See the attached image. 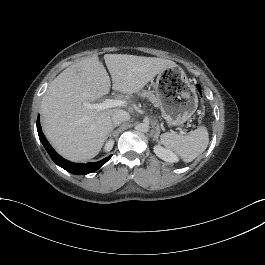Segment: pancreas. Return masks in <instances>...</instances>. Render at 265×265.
Instances as JSON below:
<instances>
[{"label":"pancreas","instance_id":"obj_1","mask_svg":"<svg viewBox=\"0 0 265 265\" xmlns=\"http://www.w3.org/2000/svg\"><path fill=\"white\" fill-rule=\"evenodd\" d=\"M137 94H138L139 97L147 98L150 102H152L154 104L158 102L157 97L153 94L152 91L141 90Z\"/></svg>","mask_w":265,"mask_h":265}]
</instances>
